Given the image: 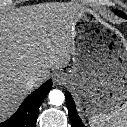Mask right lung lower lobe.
<instances>
[{"mask_svg": "<svg viewBox=\"0 0 127 127\" xmlns=\"http://www.w3.org/2000/svg\"><path fill=\"white\" fill-rule=\"evenodd\" d=\"M52 81H46L40 88L30 94L17 112L0 127H36V120L41 103L51 90Z\"/></svg>", "mask_w": 127, "mask_h": 127, "instance_id": "right-lung-lower-lobe-1", "label": "right lung lower lobe"}]
</instances>
